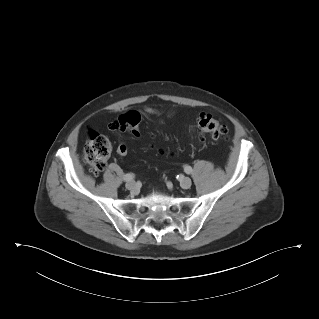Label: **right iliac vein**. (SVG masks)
<instances>
[{"label": "right iliac vein", "instance_id": "obj_1", "mask_svg": "<svg viewBox=\"0 0 319 319\" xmlns=\"http://www.w3.org/2000/svg\"><path fill=\"white\" fill-rule=\"evenodd\" d=\"M126 188L132 192L137 191L138 187L135 181H129L126 183Z\"/></svg>", "mask_w": 319, "mask_h": 319}]
</instances>
